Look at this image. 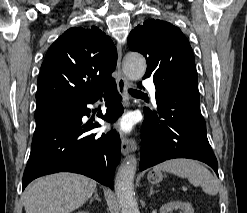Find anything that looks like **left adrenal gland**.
Returning a JSON list of instances; mask_svg holds the SVG:
<instances>
[{
  "label": "left adrenal gland",
  "instance_id": "obj_1",
  "mask_svg": "<svg viewBox=\"0 0 247 213\" xmlns=\"http://www.w3.org/2000/svg\"><path fill=\"white\" fill-rule=\"evenodd\" d=\"M155 192H158V191H154V190H153V187L151 186V187H150L149 196H151V195L154 194Z\"/></svg>",
  "mask_w": 247,
  "mask_h": 213
}]
</instances>
